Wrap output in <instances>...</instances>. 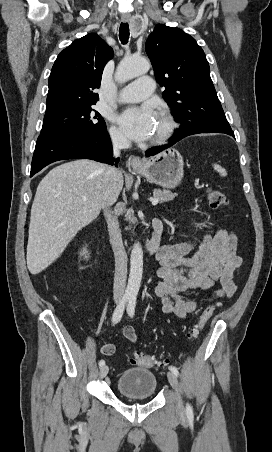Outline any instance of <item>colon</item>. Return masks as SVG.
Instances as JSON below:
<instances>
[{
	"mask_svg": "<svg viewBox=\"0 0 272 452\" xmlns=\"http://www.w3.org/2000/svg\"><path fill=\"white\" fill-rule=\"evenodd\" d=\"M206 199L209 207L212 209H225L229 205L227 196L222 191L213 187H209L206 190ZM213 310L214 306L210 305L205 308H202L199 311L198 323L196 327L193 329V331L189 334L190 339H195L200 335L201 331L209 321ZM129 362L132 365L142 367H156L161 365L162 363L165 364V362H161L155 356L141 354L130 356Z\"/></svg>",
	"mask_w": 272,
	"mask_h": 452,
	"instance_id": "colon-1",
	"label": "colon"
}]
</instances>
